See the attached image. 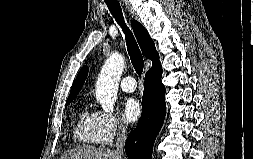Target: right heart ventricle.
<instances>
[{
	"instance_id": "e07e8e85",
	"label": "right heart ventricle",
	"mask_w": 253,
	"mask_h": 159,
	"mask_svg": "<svg viewBox=\"0 0 253 159\" xmlns=\"http://www.w3.org/2000/svg\"><path fill=\"white\" fill-rule=\"evenodd\" d=\"M73 139L79 145H99L101 143L98 113L88 107L81 109L74 122Z\"/></svg>"
}]
</instances>
